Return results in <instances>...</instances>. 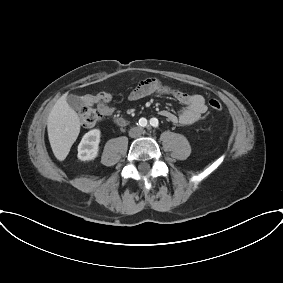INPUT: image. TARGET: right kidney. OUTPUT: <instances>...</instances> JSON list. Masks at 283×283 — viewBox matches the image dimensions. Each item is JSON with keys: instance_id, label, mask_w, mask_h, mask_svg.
<instances>
[{"instance_id": "ca27d5eb", "label": "right kidney", "mask_w": 283, "mask_h": 283, "mask_svg": "<svg viewBox=\"0 0 283 283\" xmlns=\"http://www.w3.org/2000/svg\"><path fill=\"white\" fill-rule=\"evenodd\" d=\"M100 130L93 129L87 132L78 145V158L82 161L94 160L99 151Z\"/></svg>"}]
</instances>
